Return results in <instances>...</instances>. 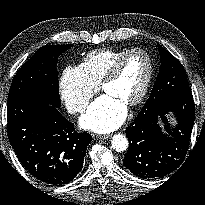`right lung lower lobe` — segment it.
<instances>
[{
    "instance_id": "98d812e1",
    "label": "right lung lower lobe",
    "mask_w": 205,
    "mask_h": 205,
    "mask_svg": "<svg viewBox=\"0 0 205 205\" xmlns=\"http://www.w3.org/2000/svg\"><path fill=\"white\" fill-rule=\"evenodd\" d=\"M8 137L18 159L38 180L63 185L82 170L89 133H77L59 109L18 95L7 103Z\"/></svg>"
}]
</instances>
